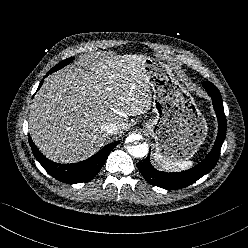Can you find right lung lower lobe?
Masks as SVG:
<instances>
[{"label": "right lung lower lobe", "mask_w": 248, "mask_h": 248, "mask_svg": "<svg viewBox=\"0 0 248 248\" xmlns=\"http://www.w3.org/2000/svg\"><path fill=\"white\" fill-rule=\"evenodd\" d=\"M52 72H54L53 69H51L47 75L51 74ZM42 83L43 80L39 84L38 89L41 87ZM29 143L35 158L49 174L61 182L74 184L87 182L93 179L104 165L109 153L119 143V141L106 145L89 159L73 164L54 163L42 155L30 137Z\"/></svg>", "instance_id": "right-lung-lower-lobe-1"}]
</instances>
